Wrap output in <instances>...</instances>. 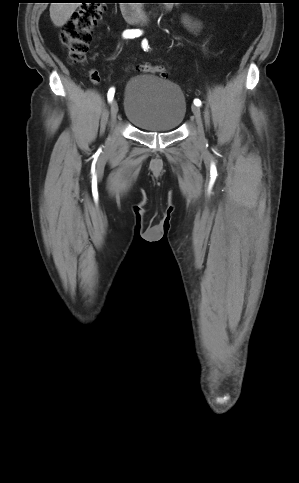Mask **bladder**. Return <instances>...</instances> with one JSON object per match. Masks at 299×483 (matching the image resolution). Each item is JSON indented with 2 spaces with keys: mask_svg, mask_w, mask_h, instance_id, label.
Segmentation results:
<instances>
[{
  "mask_svg": "<svg viewBox=\"0 0 299 483\" xmlns=\"http://www.w3.org/2000/svg\"><path fill=\"white\" fill-rule=\"evenodd\" d=\"M125 118L147 132L175 131L186 114V100L180 87L155 74L132 77L123 93Z\"/></svg>",
  "mask_w": 299,
  "mask_h": 483,
  "instance_id": "bladder-1",
  "label": "bladder"
}]
</instances>
